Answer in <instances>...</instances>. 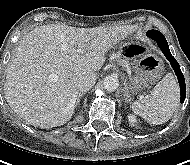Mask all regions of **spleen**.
<instances>
[{
  "mask_svg": "<svg viewBox=\"0 0 190 165\" xmlns=\"http://www.w3.org/2000/svg\"><path fill=\"white\" fill-rule=\"evenodd\" d=\"M180 99L179 86L172 73H167L151 94L132 103V111L152 124L167 122Z\"/></svg>",
  "mask_w": 190,
  "mask_h": 165,
  "instance_id": "1",
  "label": "spleen"
}]
</instances>
